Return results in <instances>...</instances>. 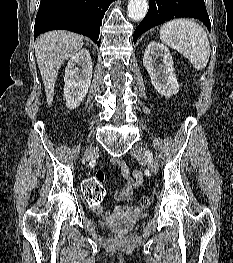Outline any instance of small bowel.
Masks as SVG:
<instances>
[{"instance_id":"small-bowel-1","label":"small bowel","mask_w":233,"mask_h":263,"mask_svg":"<svg viewBox=\"0 0 233 263\" xmlns=\"http://www.w3.org/2000/svg\"><path fill=\"white\" fill-rule=\"evenodd\" d=\"M112 163L118 168L120 176L123 181V186L120 190L115 191L114 198L118 202H130L134 191L141 185L143 177L142 173L138 170L130 172L129 167L121 158H113ZM101 202V201H100ZM97 214H105L104 208L101 205H97V208H93ZM125 205L117 207V212L124 211Z\"/></svg>"}]
</instances>
